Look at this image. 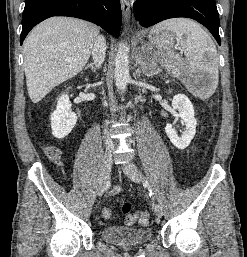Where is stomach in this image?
Listing matches in <instances>:
<instances>
[{
  "label": "stomach",
  "mask_w": 247,
  "mask_h": 257,
  "mask_svg": "<svg viewBox=\"0 0 247 257\" xmlns=\"http://www.w3.org/2000/svg\"><path fill=\"white\" fill-rule=\"evenodd\" d=\"M143 37L141 38L142 46L136 53V61L144 71H149L159 62L168 67L174 75L181 78L187 87H194L195 82L187 64L175 59L173 51L174 36L169 31H150L149 42L144 41Z\"/></svg>",
  "instance_id": "stomach-1"
}]
</instances>
